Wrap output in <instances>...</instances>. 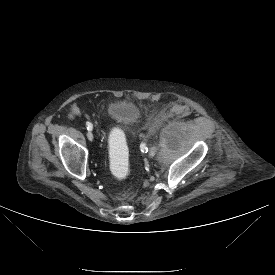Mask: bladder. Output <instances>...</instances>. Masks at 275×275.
Segmentation results:
<instances>
[{"instance_id": "bladder-1", "label": "bladder", "mask_w": 275, "mask_h": 275, "mask_svg": "<svg viewBox=\"0 0 275 275\" xmlns=\"http://www.w3.org/2000/svg\"><path fill=\"white\" fill-rule=\"evenodd\" d=\"M107 116L118 126L129 128L140 119V109L130 100H115L108 104Z\"/></svg>"}]
</instances>
